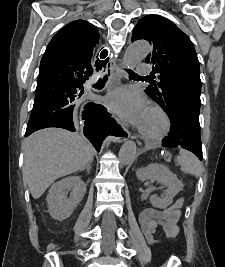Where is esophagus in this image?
Returning <instances> with one entry per match:
<instances>
[{
    "label": "esophagus",
    "instance_id": "1",
    "mask_svg": "<svg viewBox=\"0 0 225 267\" xmlns=\"http://www.w3.org/2000/svg\"><path fill=\"white\" fill-rule=\"evenodd\" d=\"M109 69L117 79H119L123 74L122 64L119 62L114 61L113 63H111ZM129 137L130 133L123 126H120L117 140L122 142L127 140Z\"/></svg>",
    "mask_w": 225,
    "mask_h": 267
}]
</instances>
